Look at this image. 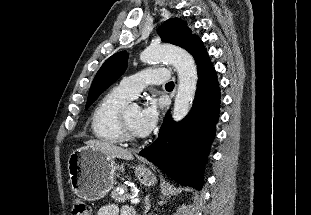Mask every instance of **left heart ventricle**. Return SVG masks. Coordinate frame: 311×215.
I'll return each mask as SVG.
<instances>
[{
	"mask_svg": "<svg viewBox=\"0 0 311 215\" xmlns=\"http://www.w3.org/2000/svg\"><path fill=\"white\" fill-rule=\"evenodd\" d=\"M140 112V108L137 105H131L126 113V120L127 123L131 129V131L136 135L135 133V122L137 120L138 114Z\"/></svg>",
	"mask_w": 311,
	"mask_h": 215,
	"instance_id": "b2bd125f",
	"label": "left heart ventricle"
}]
</instances>
